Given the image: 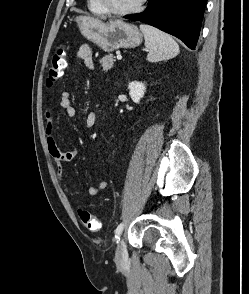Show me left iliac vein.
Wrapping results in <instances>:
<instances>
[{
	"instance_id": "4c4485c4",
	"label": "left iliac vein",
	"mask_w": 249,
	"mask_h": 294,
	"mask_svg": "<svg viewBox=\"0 0 249 294\" xmlns=\"http://www.w3.org/2000/svg\"><path fill=\"white\" fill-rule=\"evenodd\" d=\"M128 258L126 244L123 239H121L117 245L116 249V261L118 264H123Z\"/></svg>"
}]
</instances>
